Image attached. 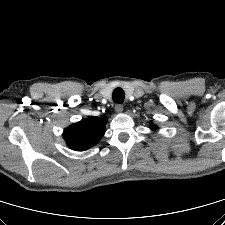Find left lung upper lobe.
Instances as JSON below:
<instances>
[{
	"mask_svg": "<svg viewBox=\"0 0 225 225\" xmlns=\"http://www.w3.org/2000/svg\"><path fill=\"white\" fill-rule=\"evenodd\" d=\"M152 129L154 130V129H157V127L156 126H152Z\"/></svg>",
	"mask_w": 225,
	"mask_h": 225,
	"instance_id": "1",
	"label": "left lung upper lobe"
}]
</instances>
